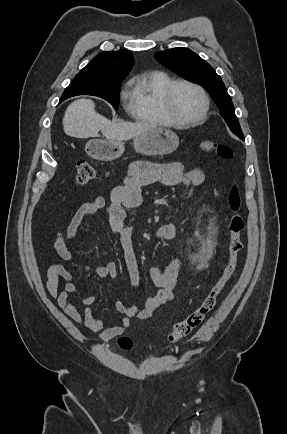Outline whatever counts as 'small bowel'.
<instances>
[{"label": "small bowel", "mask_w": 287, "mask_h": 434, "mask_svg": "<svg viewBox=\"0 0 287 434\" xmlns=\"http://www.w3.org/2000/svg\"><path fill=\"white\" fill-rule=\"evenodd\" d=\"M204 181V174L198 168L184 169L180 163L154 164L148 161H135L128 170L122 182L117 185L111 194L109 202L102 196L84 203L72 216L68 225L60 229L54 239V249L57 255L65 261H71L73 254L68 247V241H74L82 224L92 215L103 210L109 217V223L114 236L117 238L125 253L126 266L131 283L139 284V269L133 250L132 239L135 234L134 226H125L123 221L128 210L137 208L141 203V189L150 184H160L165 187H191L200 186ZM192 191L189 192V196ZM178 226L168 222L159 227L157 237L160 240H170L177 236ZM183 263L182 254L164 268L150 267L151 281L158 288L157 292L146 299L141 307L128 306L122 301L115 302V309L123 317L118 324L106 327L105 321L96 318L91 310L95 297L81 294L84 309L80 312L71 299L77 294L74 283V274L67 270L62 262H54L47 271L46 288L54 297L66 315L76 323L85 324L91 331L98 332L101 340L107 341L121 335L130 325L132 317L141 320L150 318L153 313L163 305L174 299V289L178 283L180 269ZM86 270L99 278L116 279L119 275L117 265L110 261L103 266L87 267ZM61 280H64L62 289Z\"/></svg>", "instance_id": "1"}]
</instances>
